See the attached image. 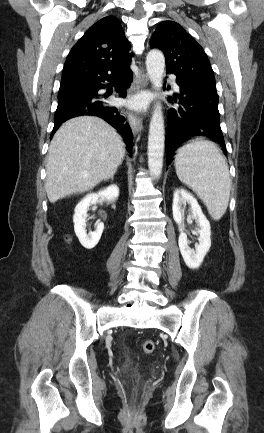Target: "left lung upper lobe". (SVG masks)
<instances>
[{
    "instance_id": "1",
    "label": "left lung upper lobe",
    "mask_w": 264,
    "mask_h": 433,
    "mask_svg": "<svg viewBox=\"0 0 264 433\" xmlns=\"http://www.w3.org/2000/svg\"><path fill=\"white\" fill-rule=\"evenodd\" d=\"M154 47L164 52L167 72L175 74L177 79L187 84L216 87L206 53L178 23L161 22L151 38V48Z\"/></svg>"
}]
</instances>
